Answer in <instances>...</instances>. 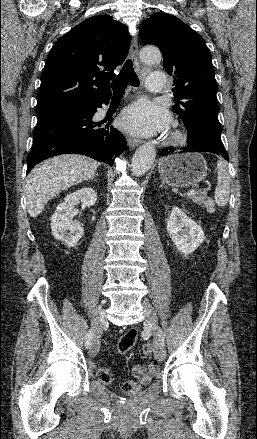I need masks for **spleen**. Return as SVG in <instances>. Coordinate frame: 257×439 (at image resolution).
Returning a JSON list of instances; mask_svg holds the SVG:
<instances>
[{"label":"spleen","mask_w":257,"mask_h":439,"mask_svg":"<svg viewBox=\"0 0 257 439\" xmlns=\"http://www.w3.org/2000/svg\"><path fill=\"white\" fill-rule=\"evenodd\" d=\"M230 194V175L224 161L217 162V186L214 193L215 202L218 206L228 203Z\"/></svg>","instance_id":"3e777b00"}]
</instances>
